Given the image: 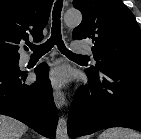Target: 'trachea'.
Here are the masks:
<instances>
[{
  "mask_svg": "<svg viewBox=\"0 0 141 139\" xmlns=\"http://www.w3.org/2000/svg\"><path fill=\"white\" fill-rule=\"evenodd\" d=\"M63 6V0H57L54 4L53 12H52V19H53V25L51 30V37L43 44L40 45H34V44H28L30 49L33 51L34 54H45L49 52L54 45H57L60 52L67 57L70 58H87V56L84 55H78L70 50H68L62 40L61 36V11Z\"/></svg>",
  "mask_w": 141,
  "mask_h": 139,
  "instance_id": "1",
  "label": "trachea"
}]
</instances>
